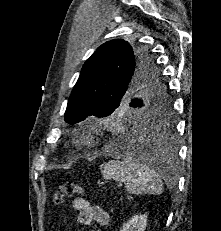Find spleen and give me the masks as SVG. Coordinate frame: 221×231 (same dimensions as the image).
Here are the masks:
<instances>
[{
	"instance_id": "spleen-1",
	"label": "spleen",
	"mask_w": 221,
	"mask_h": 231,
	"mask_svg": "<svg viewBox=\"0 0 221 231\" xmlns=\"http://www.w3.org/2000/svg\"><path fill=\"white\" fill-rule=\"evenodd\" d=\"M100 169L104 178L125 183L131 194L159 195L163 192L159 174L130 156L122 161L111 160Z\"/></svg>"
}]
</instances>
